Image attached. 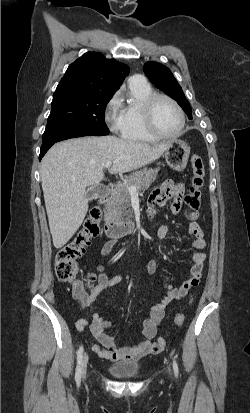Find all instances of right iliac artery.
I'll return each instance as SVG.
<instances>
[{
	"instance_id": "right-iliac-artery-1",
	"label": "right iliac artery",
	"mask_w": 250,
	"mask_h": 413,
	"mask_svg": "<svg viewBox=\"0 0 250 413\" xmlns=\"http://www.w3.org/2000/svg\"><path fill=\"white\" fill-rule=\"evenodd\" d=\"M83 350H84L83 346H81L77 351V367H76V373H75V380L77 383H79L81 379V361H82Z\"/></svg>"
}]
</instances>
